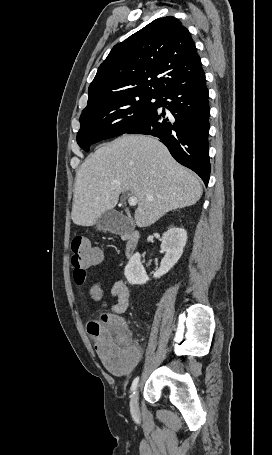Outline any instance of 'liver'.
<instances>
[{
    "mask_svg": "<svg viewBox=\"0 0 272 455\" xmlns=\"http://www.w3.org/2000/svg\"><path fill=\"white\" fill-rule=\"evenodd\" d=\"M124 192L137 197L135 222L138 227H147L171 210L194 205L202 187L158 139L123 135L98 148L78 169L73 222L80 226L96 224Z\"/></svg>",
    "mask_w": 272,
    "mask_h": 455,
    "instance_id": "6515ba94",
    "label": "liver"
}]
</instances>
